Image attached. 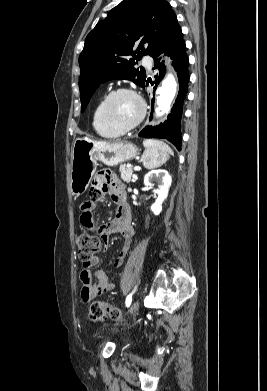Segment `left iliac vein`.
<instances>
[{"mask_svg": "<svg viewBox=\"0 0 267 391\" xmlns=\"http://www.w3.org/2000/svg\"><path fill=\"white\" fill-rule=\"evenodd\" d=\"M139 305H140L139 300H136V301L132 304V306H131V308H130V315H133V314L136 313V311H137L138 308H139Z\"/></svg>", "mask_w": 267, "mask_h": 391, "instance_id": "obj_1", "label": "left iliac vein"}]
</instances>
